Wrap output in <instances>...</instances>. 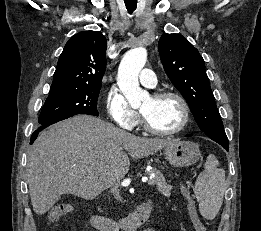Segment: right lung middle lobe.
Masks as SVG:
<instances>
[{
    "instance_id": "obj_1",
    "label": "right lung middle lobe",
    "mask_w": 261,
    "mask_h": 231,
    "mask_svg": "<svg viewBox=\"0 0 261 231\" xmlns=\"http://www.w3.org/2000/svg\"><path fill=\"white\" fill-rule=\"evenodd\" d=\"M100 89H51L39 116V123L44 125L76 114L98 116L97 100Z\"/></svg>"
}]
</instances>
